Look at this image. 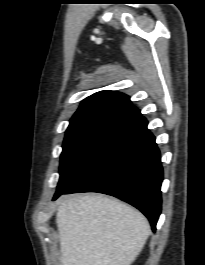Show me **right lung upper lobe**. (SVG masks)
Returning <instances> with one entry per match:
<instances>
[{
    "label": "right lung upper lobe",
    "instance_id": "right-lung-upper-lobe-1",
    "mask_svg": "<svg viewBox=\"0 0 205 265\" xmlns=\"http://www.w3.org/2000/svg\"><path fill=\"white\" fill-rule=\"evenodd\" d=\"M142 117L130 98L115 91H100L84 99L70 120L66 133L96 125L128 126Z\"/></svg>",
    "mask_w": 205,
    "mask_h": 265
}]
</instances>
